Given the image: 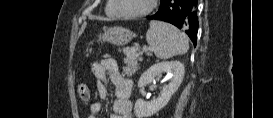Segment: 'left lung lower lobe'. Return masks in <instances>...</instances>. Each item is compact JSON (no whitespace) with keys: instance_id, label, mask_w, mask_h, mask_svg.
I'll use <instances>...</instances> for the list:
<instances>
[{"instance_id":"0a47b994","label":"left lung lower lobe","mask_w":273,"mask_h":118,"mask_svg":"<svg viewBox=\"0 0 273 118\" xmlns=\"http://www.w3.org/2000/svg\"><path fill=\"white\" fill-rule=\"evenodd\" d=\"M196 8L197 0H161L158 12L147 18L166 21L184 30L196 46L198 31Z\"/></svg>"}]
</instances>
